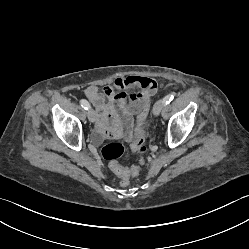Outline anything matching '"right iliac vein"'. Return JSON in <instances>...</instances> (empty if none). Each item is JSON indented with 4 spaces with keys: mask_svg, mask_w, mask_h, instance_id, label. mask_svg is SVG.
Instances as JSON below:
<instances>
[{
    "mask_svg": "<svg viewBox=\"0 0 249 249\" xmlns=\"http://www.w3.org/2000/svg\"><path fill=\"white\" fill-rule=\"evenodd\" d=\"M87 116H88V119H89L90 122H95V120H96V114H95V111L93 109L90 108L87 111Z\"/></svg>",
    "mask_w": 249,
    "mask_h": 249,
    "instance_id": "right-iliac-vein-1",
    "label": "right iliac vein"
}]
</instances>
